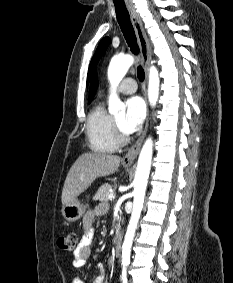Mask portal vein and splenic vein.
Masks as SVG:
<instances>
[{"label": "portal vein and splenic vein", "mask_w": 233, "mask_h": 283, "mask_svg": "<svg viewBox=\"0 0 233 283\" xmlns=\"http://www.w3.org/2000/svg\"><path fill=\"white\" fill-rule=\"evenodd\" d=\"M113 199H115V194L111 193V194L109 195V200H113Z\"/></svg>", "instance_id": "18ae733b"}]
</instances>
